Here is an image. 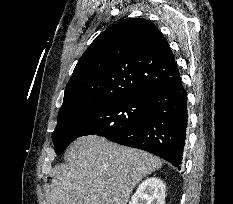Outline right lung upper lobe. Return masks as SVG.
<instances>
[{"mask_svg":"<svg viewBox=\"0 0 233 204\" xmlns=\"http://www.w3.org/2000/svg\"><path fill=\"white\" fill-rule=\"evenodd\" d=\"M176 70L167 40L152 22L124 19L83 53L66 86L56 127L108 102L150 95Z\"/></svg>","mask_w":233,"mask_h":204,"instance_id":"obj_1","label":"right lung upper lobe"}]
</instances>
